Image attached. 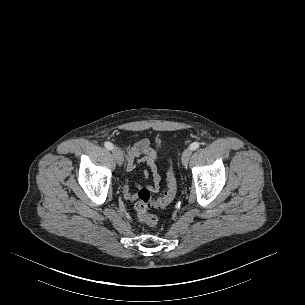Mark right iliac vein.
I'll return each mask as SVG.
<instances>
[{"mask_svg":"<svg viewBox=\"0 0 305 305\" xmlns=\"http://www.w3.org/2000/svg\"><path fill=\"white\" fill-rule=\"evenodd\" d=\"M112 153H113L114 158H115L116 162L118 163V165H122L123 161H124V156H123L122 151L118 147H114L112 149Z\"/></svg>","mask_w":305,"mask_h":305,"instance_id":"right-iliac-vein-1","label":"right iliac vein"}]
</instances>
